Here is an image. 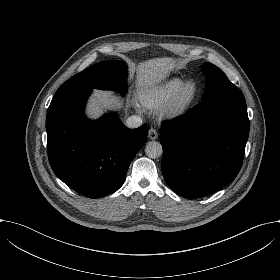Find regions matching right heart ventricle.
I'll return each instance as SVG.
<instances>
[{
  "instance_id": "right-heart-ventricle-1",
  "label": "right heart ventricle",
  "mask_w": 280,
  "mask_h": 280,
  "mask_svg": "<svg viewBox=\"0 0 280 280\" xmlns=\"http://www.w3.org/2000/svg\"><path fill=\"white\" fill-rule=\"evenodd\" d=\"M183 81L184 79L180 77H173L157 86H145L139 92V99L148 108L166 107L179 90Z\"/></svg>"
}]
</instances>
